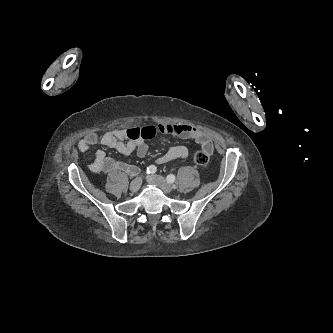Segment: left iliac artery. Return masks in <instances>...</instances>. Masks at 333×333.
<instances>
[{
    "mask_svg": "<svg viewBox=\"0 0 333 333\" xmlns=\"http://www.w3.org/2000/svg\"><path fill=\"white\" fill-rule=\"evenodd\" d=\"M166 179H167V182H168V183H173V182L175 181L176 178H175V175L170 174V175L167 176Z\"/></svg>",
    "mask_w": 333,
    "mask_h": 333,
    "instance_id": "left-iliac-artery-1",
    "label": "left iliac artery"
}]
</instances>
